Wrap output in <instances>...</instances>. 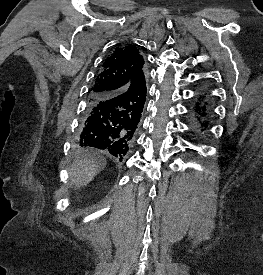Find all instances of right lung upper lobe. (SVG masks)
I'll return each mask as SVG.
<instances>
[{
    "mask_svg": "<svg viewBox=\"0 0 263 275\" xmlns=\"http://www.w3.org/2000/svg\"><path fill=\"white\" fill-rule=\"evenodd\" d=\"M143 65V57L136 47L132 45L116 47L105 59L90 89V96L126 92L129 98V109L133 113H141L146 98V85L139 75Z\"/></svg>",
    "mask_w": 263,
    "mask_h": 275,
    "instance_id": "right-lung-upper-lobe-1",
    "label": "right lung upper lobe"
}]
</instances>
